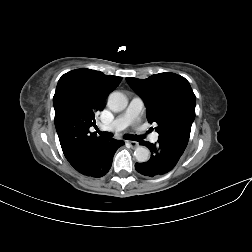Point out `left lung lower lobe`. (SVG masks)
Listing matches in <instances>:
<instances>
[{
  "label": "left lung lower lobe",
  "instance_id": "0a47b994",
  "mask_svg": "<svg viewBox=\"0 0 252 252\" xmlns=\"http://www.w3.org/2000/svg\"><path fill=\"white\" fill-rule=\"evenodd\" d=\"M151 151V158L144 163H136L137 172L147 177H157L171 171L178 163L186 146L169 139H159L157 143L142 141Z\"/></svg>",
  "mask_w": 252,
  "mask_h": 252
}]
</instances>
